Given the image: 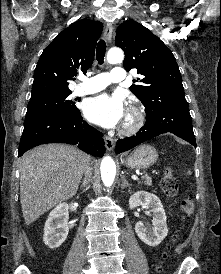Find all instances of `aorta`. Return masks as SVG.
Here are the masks:
<instances>
[{
  "instance_id": "obj_1",
  "label": "aorta",
  "mask_w": 221,
  "mask_h": 274,
  "mask_svg": "<svg viewBox=\"0 0 221 274\" xmlns=\"http://www.w3.org/2000/svg\"><path fill=\"white\" fill-rule=\"evenodd\" d=\"M124 59V53L119 48H113L108 51L107 62L110 64L121 63ZM101 178L105 186L110 187L113 184L116 165L110 156H106L101 161Z\"/></svg>"
}]
</instances>
